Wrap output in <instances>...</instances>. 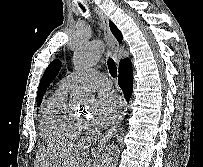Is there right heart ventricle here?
<instances>
[{
    "instance_id": "1",
    "label": "right heart ventricle",
    "mask_w": 203,
    "mask_h": 167,
    "mask_svg": "<svg viewBox=\"0 0 203 167\" xmlns=\"http://www.w3.org/2000/svg\"><path fill=\"white\" fill-rule=\"evenodd\" d=\"M70 87H60L46 101L41 118L43 138L53 144L73 141L82 129V123L67 104Z\"/></svg>"
}]
</instances>
